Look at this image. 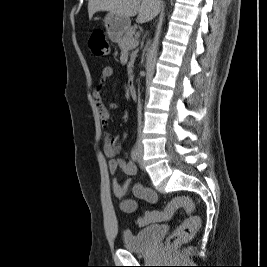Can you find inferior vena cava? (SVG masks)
<instances>
[{
    "mask_svg": "<svg viewBox=\"0 0 267 267\" xmlns=\"http://www.w3.org/2000/svg\"><path fill=\"white\" fill-rule=\"evenodd\" d=\"M141 105L139 104V108H138V118L140 119L141 118Z\"/></svg>",
    "mask_w": 267,
    "mask_h": 267,
    "instance_id": "obj_1",
    "label": "inferior vena cava"
}]
</instances>
